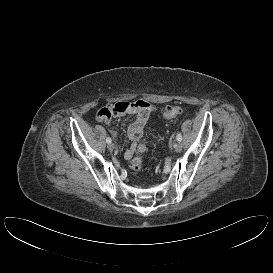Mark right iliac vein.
Instances as JSON below:
<instances>
[{
    "instance_id": "1",
    "label": "right iliac vein",
    "mask_w": 273,
    "mask_h": 273,
    "mask_svg": "<svg viewBox=\"0 0 273 273\" xmlns=\"http://www.w3.org/2000/svg\"><path fill=\"white\" fill-rule=\"evenodd\" d=\"M114 148H115V146H114L113 143H109V144H108V150H109V151H113Z\"/></svg>"
}]
</instances>
